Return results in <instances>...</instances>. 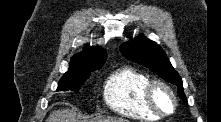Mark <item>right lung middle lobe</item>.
Returning a JSON list of instances; mask_svg holds the SVG:
<instances>
[{
    "instance_id": "1",
    "label": "right lung middle lobe",
    "mask_w": 221,
    "mask_h": 122,
    "mask_svg": "<svg viewBox=\"0 0 221 122\" xmlns=\"http://www.w3.org/2000/svg\"><path fill=\"white\" fill-rule=\"evenodd\" d=\"M93 71V70H92ZM91 71L77 73V74H64L58 83L57 91H74L78 92L83 83L89 78Z\"/></svg>"
}]
</instances>
